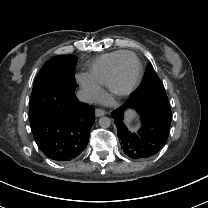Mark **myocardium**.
Instances as JSON below:
<instances>
[{
  "instance_id": "myocardium-1",
  "label": "myocardium",
  "mask_w": 208,
  "mask_h": 208,
  "mask_svg": "<svg viewBox=\"0 0 208 208\" xmlns=\"http://www.w3.org/2000/svg\"><path fill=\"white\" fill-rule=\"evenodd\" d=\"M136 61L138 63V73L136 78L133 80L132 83H130L127 86H123L120 82V74L123 68L130 63L131 61ZM143 76V64L140 58L137 55H132L121 62L117 64L115 67L113 74L111 76L110 82H109V88L110 90L117 95H128L132 93L140 84L141 79Z\"/></svg>"
}]
</instances>
